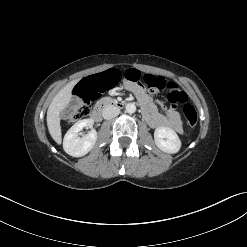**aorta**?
I'll list each match as a JSON object with an SVG mask.
<instances>
[{
  "label": "aorta",
  "mask_w": 247,
  "mask_h": 247,
  "mask_svg": "<svg viewBox=\"0 0 247 247\" xmlns=\"http://www.w3.org/2000/svg\"><path fill=\"white\" fill-rule=\"evenodd\" d=\"M135 111H136V106H135L134 103H128V104L126 105V112H127V113L133 114V113H135Z\"/></svg>",
  "instance_id": "1"
}]
</instances>
